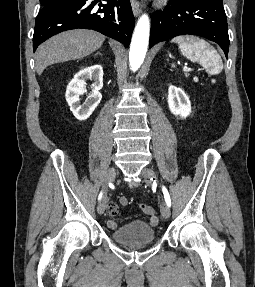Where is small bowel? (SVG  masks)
Here are the masks:
<instances>
[{
    "instance_id": "c3829d8e",
    "label": "small bowel",
    "mask_w": 255,
    "mask_h": 287,
    "mask_svg": "<svg viewBox=\"0 0 255 287\" xmlns=\"http://www.w3.org/2000/svg\"><path fill=\"white\" fill-rule=\"evenodd\" d=\"M119 204L126 206L128 204V199L126 197H121L119 199ZM107 213L110 216V218L107 220V226L110 229H115L117 227V222L113 219V217L118 213V204L115 202L109 203L107 207ZM149 224L156 226L158 224L157 216H149Z\"/></svg>"
}]
</instances>
